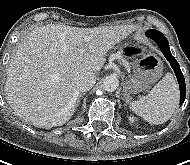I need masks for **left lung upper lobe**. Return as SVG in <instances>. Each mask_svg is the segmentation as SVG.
Returning <instances> with one entry per match:
<instances>
[{
	"label": "left lung upper lobe",
	"mask_w": 190,
	"mask_h": 165,
	"mask_svg": "<svg viewBox=\"0 0 190 165\" xmlns=\"http://www.w3.org/2000/svg\"><path fill=\"white\" fill-rule=\"evenodd\" d=\"M159 31H157V30H155V29H151V30H148L147 32H146V36L147 35H149V34H156V33H158Z\"/></svg>",
	"instance_id": "left-lung-upper-lobe-1"
}]
</instances>
